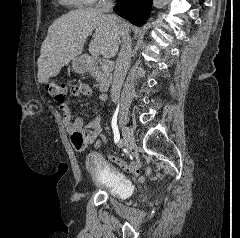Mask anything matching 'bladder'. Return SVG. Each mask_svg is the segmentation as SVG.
Segmentation results:
<instances>
[{
	"mask_svg": "<svg viewBox=\"0 0 240 238\" xmlns=\"http://www.w3.org/2000/svg\"><path fill=\"white\" fill-rule=\"evenodd\" d=\"M86 170L93 183L105 189L111 196L125 198L130 195V182L121 173L111 170L97 154H88Z\"/></svg>",
	"mask_w": 240,
	"mask_h": 238,
	"instance_id": "31cf9c89",
	"label": "bladder"
}]
</instances>
